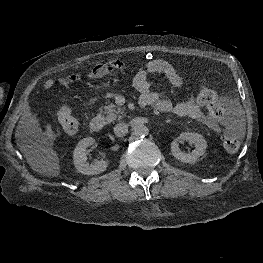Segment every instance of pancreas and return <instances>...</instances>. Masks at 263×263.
Returning <instances> with one entry per match:
<instances>
[{
    "label": "pancreas",
    "mask_w": 263,
    "mask_h": 263,
    "mask_svg": "<svg viewBox=\"0 0 263 263\" xmlns=\"http://www.w3.org/2000/svg\"><path fill=\"white\" fill-rule=\"evenodd\" d=\"M102 113V110H101ZM104 113L106 114V122H114L115 120H120L124 117L122 109L117 107L115 104H109L104 107Z\"/></svg>",
    "instance_id": "1"
}]
</instances>
